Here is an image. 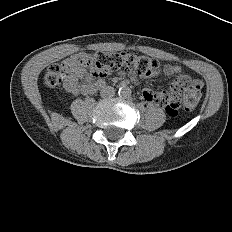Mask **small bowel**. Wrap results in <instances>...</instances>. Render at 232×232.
Instances as JSON below:
<instances>
[{
  "label": "small bowel",
  "instance_id": "c3829d8e",
  "mask_svg": "<svg viewBox=\"0 0 232 232\" xmlns=\"http://www.w3.org/2000/svg\"><path fill=\"white\" fill-rule=\"evenodd\" d=\"M64 70L67 73V78L65 81V88L67 91H69L72 94H89L88 87L89 85H83L79 83V80L83 77L85 70L82 68V66L76 64L75 58H71L66 60L64 63ZM158 73H163L167 76H172L181 73V67L178 65L173 64H166L162 67V69ZM181 77H187V75H181ZM178 78V79H179ZM190 82L192 86L199 87L200 89L203 86V82L199 79H190ZM104 82L103 80H99ZM160 93H154L153 91L149 89H144L142 92V97L144 100L148 102H155V97Z\"/></svg>",
  "mask_w": 232,
  "mask_h": 232
}]
</instances>
